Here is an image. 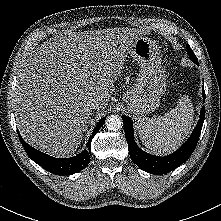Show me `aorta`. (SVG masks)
Returning <instances> with one entry per match:
<instances>
[{
	"label": "aorta",
	"mask_w": 221,
	"mask_h": 221,
	"mask_svg": "<svg viewBox=\"0 0 221 221\" xmlns=\"http://www.w3.org/2000/svg\"><path fill=\"white\" fill-rule=\"evenodd\" d=\"M106 127L110 131H118L122 128V120L118 115H110L105 121Z\"/></svg>",
	"instance_id": "1"
}]
</instances>
